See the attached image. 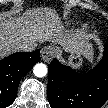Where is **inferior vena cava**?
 <instances>
[{"label": "inferior vena cava", "mask_w": 108, "mask_h": 108, "mask_svg": "<svg viewBox=\"0 0 108 108\" xmlns=\"http://www.w3.org/2000/svg\"><path fill=\"white\" fill-rule=\"evenodd\" d=\"M35 49H36V47H34V45L26 44V45H20L19 46V50L23 51V52H30V51H33Z\"/></svg>", "instance_id": "1"}]
</instances>
